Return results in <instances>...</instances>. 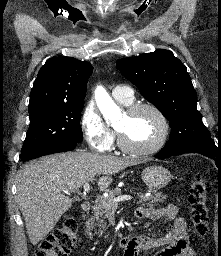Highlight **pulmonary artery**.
Masks as SVG:
<instances>
[{"mask_svg":"<svg viewBox=\"0 0 221 256\" xmlns=\"http://www.w3.org/2000/svg\"><path fill=\"white\" fill-rule=\"evenodd\" d=\"M112 95L116 100L130 103L133 101L134 93L129 86L118 85L112 90Z\"/></svg>","mask_w":221,"mask_h":256,"instance_id":"e3ab8cb5","label":"pulmonary artery"}]
</instances>
